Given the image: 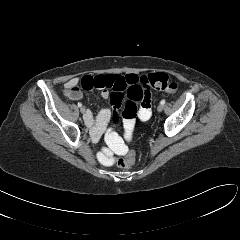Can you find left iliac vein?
Listing matches in <instances>:
<instances>
[{"label":"left iliac vein","instance_id":"left-iliac-vein-1","mask_svg":"<svg viewBox=\"0 0 240 240\" xmlns=\"http://www.w3.org/2000/svg\"><path fill=\"white\" fill-rule=\"evenodd\" d=\"M162 110H163V105H161V104L158 105V107H157V111H158V112H161Z\"/></svg>","mask_w":240,"mask_h":240}]
</instances>
